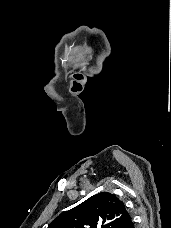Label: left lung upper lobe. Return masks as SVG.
Masks as SVG:
<instances>
[{"label":"left lung upper lobe","instance_id":"obj_1","mask_svg":"<svg viewBox=\"0 0 171 228\" xmlns=\"http://www.w3.org/2000/svg\"><path fill=\"white\" fill-rule=\"evenodd\" d=\"M130 218L116 195L101 192L57 217L48 228H122Z\"/></svg>","mask_w":171,"mask_h":228}]
</instances>
